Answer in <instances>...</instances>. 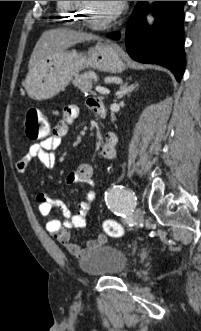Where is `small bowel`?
<instances>
[{
  "mask_svg": "<svg viewBox=\"0 0 201 331\" xmlns=\"http://www.w3.org/2000/svg\"><path fill=\"white\" fill-rule=\"evenodd\" d=\"M89 108L97 115H104L105 109L99 100H88ZM79 109L75 105H68L64 108L61 119L53 127L51 133L40 142L30 145L26 153L16 161L17 170L24 174L29 164L38 159L47 167H53L56 163V150L59 148L62 138L67 134L69 126L78 118ZM117 137L114 133L108 132L105 135L104 143L101 148V157L105 160H112L116 154ZM83 183L89 186H95L93 179V169L89 164H81L67 177V184L73 185ZM38 202V211L41 216L46 218L47 231L66 248L74 257L83 258L92 249L98 247L101 243L97 240H89L84 245H77L71 241L69 230L84 228L86 226V217L95 200V192L87 190L84 199L78 203L77 212L72 213L68 206L61 200L50 198L45 193L36 195ZM53 208H57L63 215V220L51 218L50 214Z\"/></svg>",
  "mask_w": 201,
  "mask_h": 331,
  "instance_id": "obj_1",
  "label": "small bowel"
}]
</instances>
